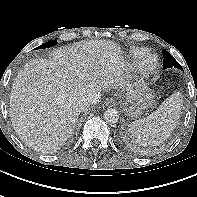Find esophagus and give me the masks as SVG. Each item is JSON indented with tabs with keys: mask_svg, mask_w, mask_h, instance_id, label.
I'll list each match as a JSON object with an SVG mask.
<instances>
[{
	"mask_svg": "<svg viewBox=\"0 0 197 197\" xmlns=\"http://www.w3.org/2000/svg\"><path fill=\"white\" fill-rule=\"evenodd\" d=\"M115 102L116 100L114 98H107L105 101L106 105H111V106L115 105Z\"/></svg>",
	"mask_w": 197,
	"mask_h": 197,
	"instance_id": "obj_1",
	"label": "esophagus"
}]
</instances>
